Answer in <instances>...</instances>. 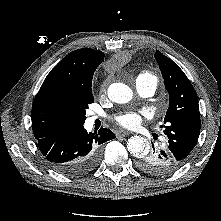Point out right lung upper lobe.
<instances>
[{"instance_id":"cb5924a9","label":"right lung upper lobe","mask_w":221,"mask_h":221,"mask_svg":"<svg viewBox=\"0 0 221 221\" xmlns=\"http://www.w3.org/2000/svg\"><path fill=\"white\" fill-rule=\"evenodd\" d=\"M103 61V52L82 48L70 52L50 71L32 107V129L37 141L57 138L77 128L64 105Z\"/></svg>"}]
</instances>
